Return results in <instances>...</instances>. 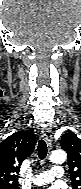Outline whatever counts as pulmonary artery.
I'll return each instance as SVG.
<instances>
[{"mask_svg":"<svg viewBox=\"0 0 81 189\" xmlns=\"http://www.w3.org/2000/svg\"><path fill=\"white\" fill-rule=\"evenodd\" d=\"M64 171L61 167H53L50 171H45L35 175L32 178V182L35 185H45L52 182L55 179H59L63 176Z\"/></svg>","mask_w":81,"mask_h":189,"instance_id":"obj_1","label":"pulmonary artery"}]
</instances>
